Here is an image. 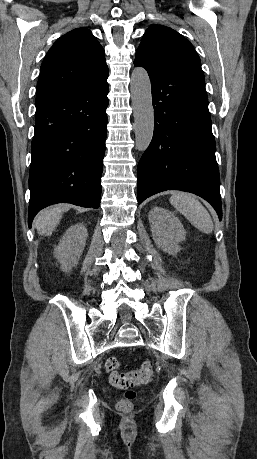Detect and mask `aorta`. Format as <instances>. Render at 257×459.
Wrapping results in <instances>:
<instances>
[{
    "label": "aorta",
    "mask_w": 257,
    "mask_h": 459,
    "mask_svg": "<svg viewBox=\"0 0 257 459\" xmlns=\"http://www.w3.org/2000/svg\"><path fill=\"white\" fill-rule=\"evenodd\" d=\"M130 91L134 112L136 146L145 151L151 143L154 131V109L151 82L147 71L136 67L131 75Z\"/></svg>",
    "instance_id": "obj_1"
}]
</instances>
